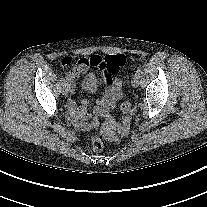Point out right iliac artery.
<instances>
[{"label":"right iliac artery","instance_id":"obj_1","mask_svg":"<svg viewBox=\"0 0 207 207\" xmlns=\"http://www.w3.org/2000/svg\"><path fill=\"white\" fill-rule=\"evenodd\" d=\"M61 82H62V84L66 85L65 80H64L63 77L61 78Z\"/></svg>","mask_w":207,"mask_h":207}]
</instances>
